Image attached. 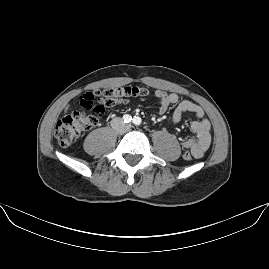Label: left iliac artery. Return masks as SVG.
Returning a JSON list of instances; mask_svg holds the SVG:
<instances>
[{
	"mask_svg": "<svg viewBox=\"0 0 269 269\" xmlns=\"http://www.w3.org/2000/svg\"><path fill=\"white\" fill-rule=\"evenodd\" d=\"M133 123L138 126L142 123V119L140 117L134 116Z\"/></svg>",
	"mask_w": 269,
	"mask_h": 269,
	"instance_id": "1",
	"label": "left iliac artery"
}]
</instances>
